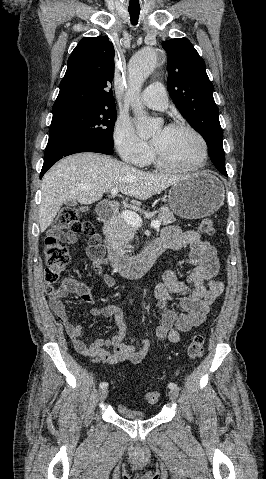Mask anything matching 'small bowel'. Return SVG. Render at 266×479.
I'll list each match as a JSON object with an SVG mask.
<instances>
[{
	"mask_svg": "<svg viewBox=\"0 0 266 479\" xmlns=\"http://www.w3.org/2000/svg\"><path fill=\"white\" fill-rule=\"evenodd\" d=\"M59 238L69 244L76 242V236L69 233H61ZM159 241L165 245L166 249L176 250L183 247L190 249L188 279L186 281L179 280L176 273L169 269L163 274L162 282L155 289L157 304L162 310V315L161 322L154 334L157 338H168L175 343L180 340L182 332H187L204 323L210 306L222 294L224 286L215 280L219 270L216 250L209 242L204 241L199 233L195 231L182 232L179 227L170 225L162 230ZM91 245L94 244L90 243L89 246ZM91 258L93 275L101 278L106 288H113L116 285L114 276L102 272L107 263L102 258ZM69 295H76L82 303L87 305H92L94 300L88 286L71 277L64 278L60 286L52 292H48L52 311L80 354L110 365L126 360L132 363L142 362L147 354L149 341L144 340L141 349L122 341L125 335V326L122 322L123 311L119 307L105 305L91 309L90 314L93 317L117 318L120 322V331L114 338H95L92 342L87 343L81 339L82 327L71 321L65 304V298ZM174 295H178L177 301L182 309L181 313H177L169 306Z\"/></svg>",
	"mask_w": 266,
	"mask_h": 479,
	"instance_id": "small-bowel-1",
	"label": "small bowel"
}]
</instances>
